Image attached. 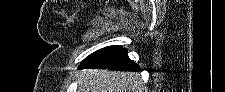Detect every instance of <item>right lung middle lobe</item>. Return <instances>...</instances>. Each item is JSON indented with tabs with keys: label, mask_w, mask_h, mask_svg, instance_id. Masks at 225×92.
<instances>
[{
	"label": "right lung middle lobe",
	"mask_w": 225,
	"mask_h": 92,
	"mask_svg": "<svg viewBox=\"0 0 225 92\" xmlns=\"http://www.w3.org/2000/svg\"><path fill=\"white\" fill-rule=\"evenodd\" d=\"M121 49L120 46H108V47H105V48H102V49H99L97 51H95L94 53L90 54L88 57H86L84 59L83 62H81L80 66H79V69H83L85 68L87 65H89L90 63L116 51V50H119Z\"/></svg>",
	"instance_id": "obj_1"
}]
</instances>
